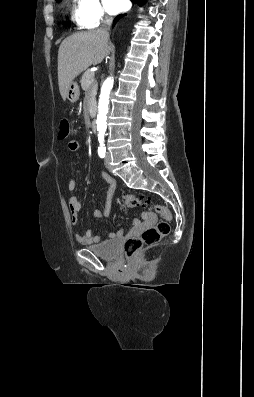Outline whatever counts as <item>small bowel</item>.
<instances>
[{
    "label": "small bowel",
    "mask_w": 254,
    "mask_h": 397,
    "mask_svg": "<svg viewBox=\"0 0 254 397\" xmlns=\"http://www.w3.org/2000/svg\"><path fill=\"white\" fill-rule=\"evenodd\" d=\"M79 143L76 140H71L68 144V148L71 152H77L79 150ZM102 178L104 179L105 182L108 183V190H107V194H106V202H105V206L103 210H99V209H94L93 211V216L97 219H103L106 218L111 211V202H112V198L116 189V182L115 180L110 177L109 175H107L106 173H102ZM77 187L76 181L71 179L68 182V190L69 191H74ZM68 206H69V210L71 213V224L75 227L78 225V213L81 210V202L79 200V198L76 195H72L69 197L68 199ZM151 216L150 214H145V218L149 219ZM135 226H138L140 224L139 221H136ZM122 234V231H117V232H112L109 233V238H118L120 237ZM76 240L84 245H89V244H93V243H98L100 242L101 238L99 236H94L91 229H87L85 230V232L83 234H77L76 235Z\"/></svg>",
    "instance_id": "1"
}]
</instances>
